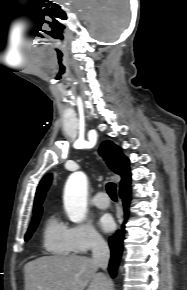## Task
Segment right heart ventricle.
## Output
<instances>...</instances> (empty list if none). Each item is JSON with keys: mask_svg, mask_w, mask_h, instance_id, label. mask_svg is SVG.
<instances>
[{"mask_svg": "<svg viewBox=\"0 0 187 290\" xmlns=\"http://www.w3.org/2000/svg\"><path fill=\"white\" fill-rule=\"evenodd\" d=\"M44 248L51 254L68 256L73 250L69 239V228L55 215L46 220L43 231Z\"/></svg>", "mask_w": 187, "mask_h": 290, "instance_id": "right-heart-ventricle-1", "label": "right heart ventricle"}]
</instances>
